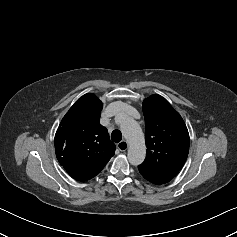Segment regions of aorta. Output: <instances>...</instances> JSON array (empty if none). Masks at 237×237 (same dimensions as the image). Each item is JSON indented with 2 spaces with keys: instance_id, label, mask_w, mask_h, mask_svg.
<instances>
[{
  "instance_id": "1",
  "label": "aorta",
  "mask_w": 237,
  "mask_h": 237,
  "mask_svg": "<svg viewBox=\"0 0 237 237\" xmlns=\"http://www.w3.org/2000/svg\"><path fill=\"white\" fill-rule=\"evenodd\" d=\"M115 121L120 125L121 132L129 143L127 156L130 164H142L146 156V145L141 127L126 114H118Z\"/></svg>"
}]
</instances>
